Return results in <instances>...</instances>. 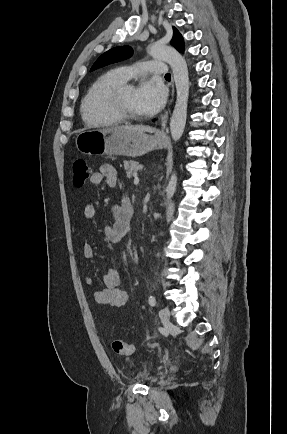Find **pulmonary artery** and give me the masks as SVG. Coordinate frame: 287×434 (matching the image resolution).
<instances>
[{"mask_svg": "<svg viewBox=\"0 0 287 434\" xmlns=\"http://www.w3.org/2000/svg\"><path fill=\"white\" fill-rule=\"evenodd\" d=\"M121 76L128 80L132 77L143 76L146 74L164 75L166 74V64L157 61H143L138 65L126 66L119 69Z\"/></svg>", "mask_w": 287, "mask_h": 434, "instance_id": "pulmonary-artery-1", "label": "pulmonary artery"}]
</instances>
